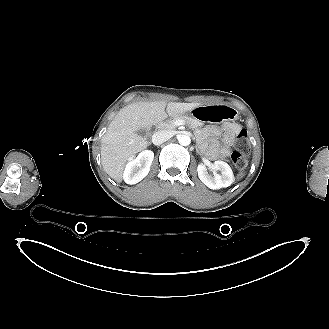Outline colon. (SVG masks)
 I'll list each match as a JSON object with an SVG mask.
<instances>
[{
	"instance_id": "obj_1",
	"label": "colon",
	"mask_w": 329,
	"mask_h": 329,
	"mask_svg": "<svg viewBox=\"0 0 329 329\" xmlns=\"http://www.w3.org/2000/svg\"><path fill=\"white\" fill-rule=\"evenodd\" d=\"M249 153L248 134L246 130H241L237 139V150L231 155V159L237 169H243L247 164Z\"/></svg>"
}]
</instances>
